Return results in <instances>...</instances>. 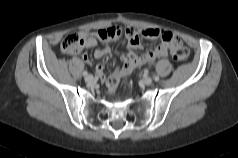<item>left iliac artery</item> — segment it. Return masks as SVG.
<instances>
[{
	"mask_svg": "<svg viewBox=\"0 0 238 158\" xmlns=\"http://www.w3.org/2000/svg\"><path fill=\"white\" fill-rule=\"evenodd\" d=\"M154 80H155V81H159V76H155V77H154Z\"/></svg>",
	"mask_w": 238,
	"mask_h": 158,
	"instance_id": "44dca946",
	"label": "left iliac artery"
}]
</instances>
